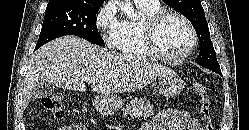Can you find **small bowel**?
Returning a JSON list of instances; mask_svg holds the SVG:
<instances>
[{
  "label": "small bowel",
  "instance_id": "1",
  "mask_svg": "<svg viewBox=\"0 0 249 130\" xmlns=\"http://www.w3.org/2000/svg\"><path fill=\"white\" fill-rule=\"evenodd\" d=\"M59 130H89L82 124L65 125ZM141 130H202L199 122L187 111L167 110L158 113L152 122Z\"/></svg>",
  "mask_w": 249,
  "mask_h": 130
}]
</instances>
